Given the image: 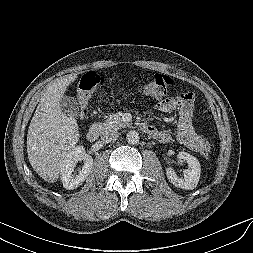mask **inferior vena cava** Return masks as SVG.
Listing matches in <instances>:
<instances>
[{
	"label": "inferior vena cava",
	"instance_id": "obj_1",
	"mask_svg": "<svg viewBox=\"0 0 253 253\" xmlns=\"http://www.w3.org/2000/svg\"><path fill=\"white\" fill-rule=\"evenodd\" d=\"M119 135H120L119 132L113 131V132H109V133L104 134L101 137V139L105 143H110L111 141L116 140L119 137Z\"/></svg>",
	"mask_w": 253,
	"mask_h": 253
}]
</instances>
